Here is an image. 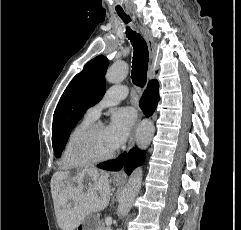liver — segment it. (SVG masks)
Here are the masks:
<instances>
[{"label": "liver", "instance_id": "6515ba94", "mask_svg": "<svg viewBox=\"0 0 241 230\" xmlns=\"http://www.w3.org/2000/svg\"><path fill=\"white\" fill-rule=\"evenodd\" d=\"M93 176V182L83 184L84 175ZM109 175L95 168L83 169L76 176L56 172L51 179V193L57 222L62 230H74L84 219L107 207L110 200ZM77 183V186L69 183ZM69 201L71 203H69Z\"/></svg>", "mask_w": 241, "mask_h": 230}]
</instances>
